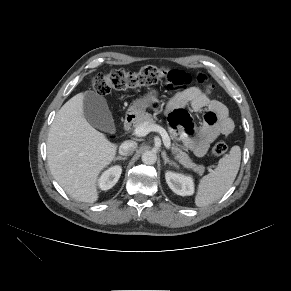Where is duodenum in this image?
<instances>
[{
	"label": "duodenum",
	"instance_id": "1",
	"mask_svg": "<svg viewBox=\"0 0 291 291\" xmlns=\"http://www.w3.org/2000/svg\"><path fill=\"white\" fill-rule=\"evenodd\" d=\"M136 119V115L133 112H130L126 115L125 120H124V129L127 131L131 128L133 125L134 121Z\"/></svg>",
	"mask_w": 291,
	"mask_h": 291
}]
</instances>
